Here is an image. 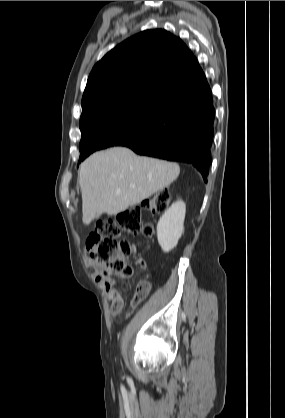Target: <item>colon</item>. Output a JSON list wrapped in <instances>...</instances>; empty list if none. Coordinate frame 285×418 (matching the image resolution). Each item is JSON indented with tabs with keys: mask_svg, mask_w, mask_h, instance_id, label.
Listing matches in <instances>:
<instances>
[{
	"mask_svg": "<svg viewBox=\"0 0 285 418\" xmlns=\"http://www.w3.org/2000/svg\"><path fill=\"white\" fill-rule=\"evenodd\" d=\"M169 193L160 191L150 197L147 203L137 205L118 214L117 220L102 219L96 222L89 231L84 252L89 263H99L101 269L96 275L95 282L101 288H108L117 284L120 278L133 274V267L129 263L138 249L137 246L121 238L123 233L128 235H152L150 225L142 222L146 213L161 214L167 207ZM150 285L140 282L135 290L134 299L142 302L149 294Z\"/></svg>",
	"mask_w": 285,
	"mask_h": 418,
	"instance_id": "1",
	"label": "colon"
}]
</instances>
